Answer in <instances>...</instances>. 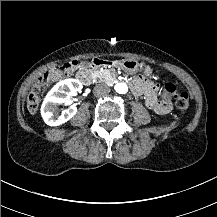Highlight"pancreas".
<instances>
[{"label": "pancreas", "instance_id": "cf45deb5", "mask_svg": "<svg viewBox=\"0 0 217 217\" xmlns=\"http://www.w3.org/2000/svg\"><path fill=\"white\" fill-rule=\"evenodd\" d=\"M110 76L115 77V74L112 75L111 71L106 70L99 77H101V78H107V77H110Z\"/></svg>", "mask_w": 217, "mask_h": 217}]
</instances>
